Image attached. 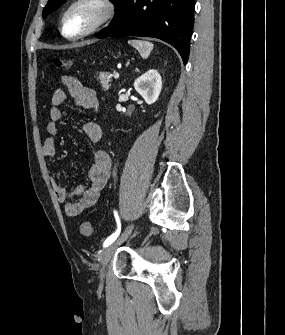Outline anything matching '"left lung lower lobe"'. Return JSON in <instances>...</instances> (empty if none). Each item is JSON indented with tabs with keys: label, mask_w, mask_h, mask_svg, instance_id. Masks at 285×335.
I'll list each match as a JSON object with an SVG mask.
<instances>
[{
	"label": "left lung lower lobe",
	"mask_w": 285,
	"mask_h": 335,
	"mask_svg": "<svg viewBox=\"0 0 285 335\" xmlns=\"http://www.w3.org/2000/svg\"><path fill=\"white\" fill-rule=\"evenodd\" d=\"M195 0H122L109 26L98 38L143 36L161 39L187 63Z\"/></svg>",
	"instance_id": "1"
}]
</instances>
